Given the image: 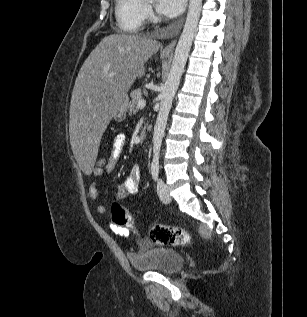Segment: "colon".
I'll return each instance as SVG.
<instances>
[{"label":"colon","instance_id":"5ec220e1","mask_svg":"<svg viewBox=\"0 0 307 317\" xmlns=\"http://www.w3.org/2000/svg\"><path fill=\"white\" fill-rule=\"evenodd\" d=\"M107 162L108 158L99 154L95 162V168H104ZM111 218L116 226L136 231L133 217L117 202L112 205ZM149 237L154 244L172 247L187 246L191 242V237L186 230L162 224L153 225L150 228Z\"/></svg>","mask_w":307,"mask_h":317}]
</instances>
